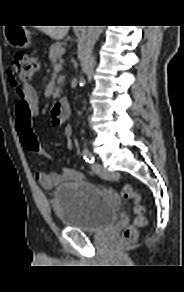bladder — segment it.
<instances>
[{
  "label": "bladder",
  "instance_id": "obj_1",
  "mask_svg": "<svg viewBox=\"0 0 184 292\" xmlns=\"http://www.w3.org/2000/svg\"><path fill=\"white\" fill-rule=\"evenodd\" d=\"M119 198L91 183H69L57 188L52 207L66 228L102 233L117 220Z\"/></svg>",
  "mask_w": 184,
  "mask_h": 292
}]
</instances>
